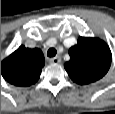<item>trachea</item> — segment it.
Returning a JSON list of instances; mask_svg holds the SVG:
<instances>
[{
	"instance_id": "obj_1",
	"label": "trachea",
	"mask_w": 115,
	"mask_h": 114,
	"mask_svg": "<svg viewBox=\"0 0 115 114\" xmlns=\"http://www.w3.org/2000/svg\"><path fill=\"white\" fill-rule=\"evenodd\" d=\"M57 51L55 48H50L48 51H47V56L48 57H54L56 55Z\"/></svg>"
}]
</instances>
